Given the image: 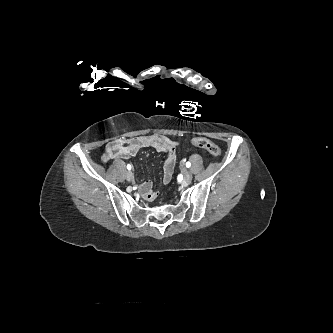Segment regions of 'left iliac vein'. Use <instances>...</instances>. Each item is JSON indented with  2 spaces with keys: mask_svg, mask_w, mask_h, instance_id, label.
I'll list each match as a JSON object with an SVG mask.
<instances>
[{
  "mask_svg": "<svg viewBox=\"0 0 333 333\" xmlns=\"http://www.w3.org/2000/svg\"><path fill=\"white\" fill-rule=\"evenodd\" d=\"M183 174H184L183 184L184 185L190 184L191 181H192V175H191V173L186 168H184L183 169Z\"/></svg>",
  "mask_w": 333,
  "mask_h": 333,
  "instance_id": "1",
  "label": "left iliac vein"
}]
</instances>
